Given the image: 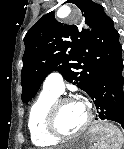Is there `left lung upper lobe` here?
Instances as JSON below:
<instances>
[{"label": "left lung upper lobe", "instance_id": "obj_1", "mask_svg": "<svg viewBox=\"0 0 124 149\" xmlns=\"http://www.w3.org/2000/svg\"><path fill=\"white\" fill-rule=\"evenodd\" d=\"M69 3L84 13L90 29L62 24L55 19L53 11L31 27L24 38L21 73L24 103L36 95L43 80L53 71L87 92L105 69L122 60L119 34L103 7L91 0Z\"/></svg>", "mask_w": 124, "mask_h": 149}]
</instances>
